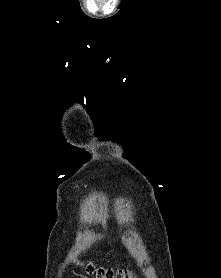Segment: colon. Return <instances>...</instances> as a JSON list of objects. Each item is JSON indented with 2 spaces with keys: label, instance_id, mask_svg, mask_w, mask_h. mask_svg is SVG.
Listing matches in <instances>:
<instances>
[{
  "label": "colon",
  "instance_id": "1",
  "mask_svg": "<svg viewBox=\"0 0 221 278\" xmlns=\"http://www.w3.org/2000/svg\"><path fill=\"white\" fill-rule=\"evenodd\" d=\"M87 272L93 278H134L133 273L128 269H113L88 265Z\"/></svg>",
  "mask_w": 221,
  "mask_h": 278
}]
</instances>
